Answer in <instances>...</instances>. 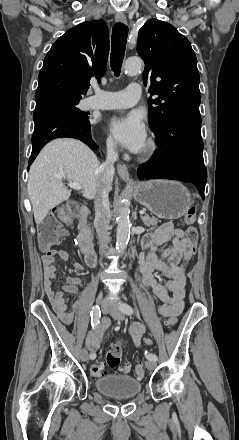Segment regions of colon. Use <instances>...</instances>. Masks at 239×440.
I'll use <instances>...</instances> for the list:
<instances>
[{
	"label": "colon",
	"mask_w": 239,
	"mask_h": 440,
	"mask_svg": "<svg viewBox=\"0 0 239 440\" xmlns=\"http://www.w3.org/2000/svg\"><path fill=\"white\" fill-rule=\"evenodd\" d=\"M77 210L78 205L76 202L70 201L55 208L52 213L46 217L39 230V241L42 249H48L56 243V241L63 235L60 221L69 222L76 217ZM195 220L196 210L194 207H191L184 215L183 223L186 226V236L192 244L196 243L198 237V232L193 226ZM176 321V317L172 316L167 320L166 326L172 328L176 324ZM122 352L123 346L121 341L112 343L106 355V362L110 368L116 369L121 373H128L130 372L131 367L129 365H120ZM144 372L145 369L143 363L138 362L135 367L136 376L141 379L144 376ZM90 373L93 376L99 377L103 376L106 372L100 363L92 362L90 365Z\"/></svg>",
	"instance_id": "1"
}]
</instances>
